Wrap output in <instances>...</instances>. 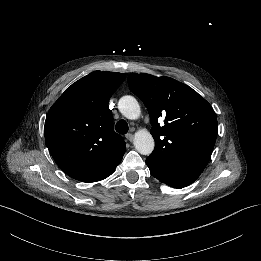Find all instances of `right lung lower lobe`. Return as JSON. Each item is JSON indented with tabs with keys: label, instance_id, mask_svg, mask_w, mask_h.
<instances>
[{
	"label": "right lung lower lobe",
	"instance_id": "98d812e1",
	"mask_svg": "<svg viewBox=\"0 0 261 261\" xmlns=\"http://www.w3.org/2000/svg\"><path fill=\"white\" fill-rule=\"evenodd\" d=\"M113 171H114V170H113ZM113 171H111L109 174H107V175H105L104 177H102L100 180H102V179L108 177ZM98 181H99V180H98Z\"/></svg>",
	"mask_w": 261,
	"mask_h": 261
}]
</instances>
